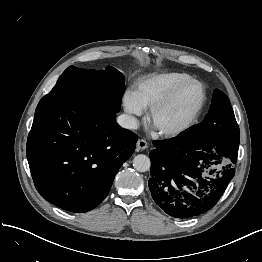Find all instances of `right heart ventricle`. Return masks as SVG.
Returning a JSON list of instances; mask_svg holds the SVG:
<instances>
[{"instance_id": "1", "label": "right heart ventricle", "mask_w": 262, "mask_h": 262, "mask_svg": "<svg viewBox=\"0 0 262 262\" xmlns=\"http://www.w3.org/2000/svg\"><path fill=\"white\" fill-rule=\"evenodd\" d=\"M190 78L189 74L183 72L155 74L140 80L136 84L133 94L139 105L143 109H148L176 85Z\"/></svg>"}]
</instances>
